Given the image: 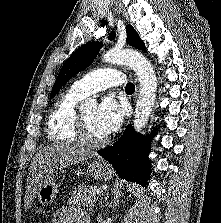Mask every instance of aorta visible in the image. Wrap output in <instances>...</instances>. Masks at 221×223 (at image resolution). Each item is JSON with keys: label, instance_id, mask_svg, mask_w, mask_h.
<instances>
[{"label": "aorta", "instance_id": "obj_1", "mask_svg": "<svg viewBox=\"0 0 221 223\" xmlns=\"http://www.w3.org/2000/svg\"><path fill=\"white\" fill-rule=\"evenodd\" d=\"M103 61L112 64H124L131 67L140 83V94L136 103L133 127L137 132L146 126L153 110L157 92V78L155 71L147 59L137 51L111 49L103 55ZM83 109H95V99L86 100Z\"/></svg>", "mask_w": 221, "mask_h": 223}]
</instances>
